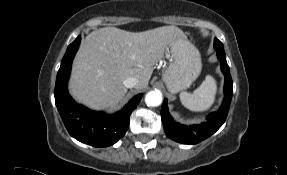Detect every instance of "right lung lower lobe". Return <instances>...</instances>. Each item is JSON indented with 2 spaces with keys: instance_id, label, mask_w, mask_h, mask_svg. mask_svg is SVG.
Masks as SVG:
<instances>
[{
  "instance_id": "98d812e1",
  "label": "right lung lower lobe",
  "mask_w": 287,
  "mask_h": 175,
  "mask_svg": "<svg viewBox=\"0 0 287 175\" xmlns=\"http://www.w3.org/2000/svg\"><path fill=\"white\" fill-rule=\"evenodd\" d=\"M78 36L67 48L57 73L55 101L62 121L69 134L82 143L94 147H108L124 136L129 127V118L137 107L142 94L133 97L121 111L107 115L77 104L69 95L67 83L71 64L79 47Z\"/></svg>"
}]
</instances>
